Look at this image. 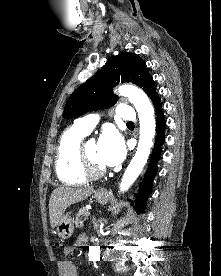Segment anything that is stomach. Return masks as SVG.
<instances>
[{
	"mask_svg": "<svg viewBox=\"0 0 221 276\" xmlns=\"http://www.w3.org/2000/svg\"><path fill=\"white\" fill-rule=\"evenodd\" d=\"M94 198L101 204H105L110 199V194L106 191H95ZM57 234L62 239H68L74 232V223L71 216L67 213L64 214L57 224Z\"/></svg>",
	"mask_w": 221,
	"mask_h": 276,
	"instance_id": "0dacf381",
	"label": "stomach"
}]
</instances>
